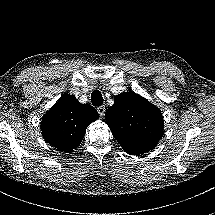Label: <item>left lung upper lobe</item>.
<instances>
[{
	"label": "left lung upper lobe",
	"mask_w": 215,
	"mask_h": 215,
	"mask_svg": "<svg viewBox=\"0 0 215 215\" xmlns=\"http://www.w3.org/2000/svg\"><path fill=\"white\" fill-rule=\"evenodd\" d=\"M105 120L116 140L131 155L152 150L163 135L161 111L134 92L117 95Z\"/></svg>",
	"instance_id": "5c2ea615"
}]
</instances>
